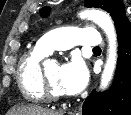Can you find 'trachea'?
Returning a JSON list of instances; mask_svg holds the SVG:
<instances>
[{
  "label": "trachea",
  "instance_id": "3493384b",
  "mask_svg": "<svg viewBox=\"0 0 131 115\" xmlns=\"http://www.w3.org/2000/svg\"><path fill=\"white\" fill-rule=\"evenodd\" d=\"M93 50H101L100 47H94Z\"/></svg>",
  "mask_w": 131,
  "mask_h": 115
}]
</instances>
